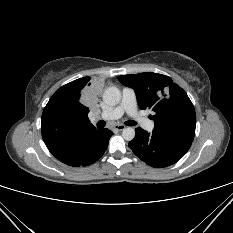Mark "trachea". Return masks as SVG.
I'll return each mask as SVG.
<instances>
[{
	"label": "trachea",
	"mask_w": 233,
	"mask_h": 233,
	"mask_svg": "<svg viewBox=\"0 0 233 233\" xmlns=\"http://www.w3.org/2000/svg\"><path fill=\"white\" fill-rule=\"evenodd\" d=\"M125 124H126L127 126H134V125H136V122H135V121L129 120V121H126ZM105 125H106V122L103 121V120H101V121H99V122L97 123V126H98V127H101V128L104 127Z\"/></svg>",
	"instance_id": "obj_1"
}]
</instances>
